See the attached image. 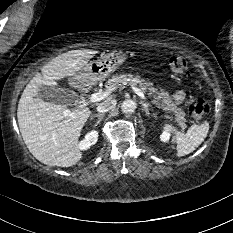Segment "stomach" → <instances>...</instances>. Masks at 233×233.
I'll use <instances>...</instances> for the list:
<instances>
[{"label":"stomach","instance_id":"obj_1","mask_svg":"<svg viewBox=\"0 0 233 233\" xmlns=\"http://www.w3.org/2000/svg\"><path fill=\"white\" fill-rule=\"evenodd\" d=\"M126 59V54L121 51L103 52L98 59L88 62L77 72L73 80L81 87L101 81L116 71Z\"/></svg>","mask_w":233,"mask_h":233}]
</instances>
